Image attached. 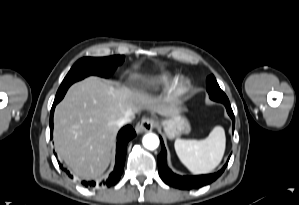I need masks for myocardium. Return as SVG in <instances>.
<instances>
[{
	"mask_svg": "<svg viewBox=\"0 0 299 205\" xmlns=\"http://www.w3.org/2000/svg\"><path fill=\"white\" fill-rule=\"evenodd\" d=\"M188 88V82L183 78H179L169 86L168 96L171 99H177L184 95L187 92Z\"/></svg>",
	"mask_w": 299,
	"mask_h": 205,
	"instance_id": "obj_1",
	"label": "myocardium"
}]
</instances>
